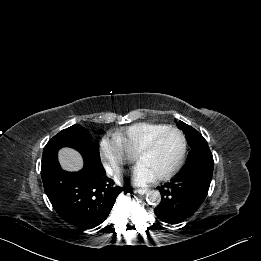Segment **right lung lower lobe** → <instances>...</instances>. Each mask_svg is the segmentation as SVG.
Listing matches in <instances>:
<instances>
[{
  "label": "right lung lower lobe",
  "mask_w": 261,
  "mask_h": 261,
  "mask_svg": "<svg viewBox=\"0 0 261 261\" xmlns=\"http://www.w3.org/2000/svg\"><path fill=\"white\" fill-rule=\"evenodd\" d=\"M84 159L79 172L63 171L57 159L42 164L44 190L55 211L66 222L82 229L101 224L109 215L116 198L124 188L114 187L106 177L100 157L90 152L83 140L75 143Z\"/></svg>",
  "instance_id": "98d812e1"
}]
</instances>
